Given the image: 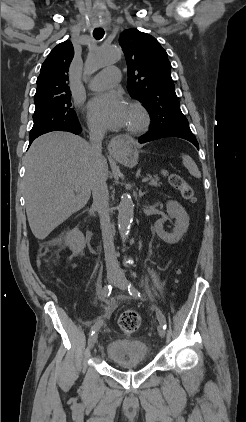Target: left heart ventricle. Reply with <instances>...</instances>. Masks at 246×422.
Masks as SVG:
<instances>
[{
    "label": "left heart ventricle",
    "instance_id": "left-heart-ventricle-1",
    "mask_svg": "<svg viewBox=\"0 0 246 422\" xmlns=\"http://www.w3.org/2000/svg\"><path fill=\"white\" fill-rule=\"evenodd\" d=\"M136 120H137L136 114L129 108L126 126L134 124Z\"/></svg>",
    "mask_w": 246,
    "mask_h": 422
}]
</instances>
